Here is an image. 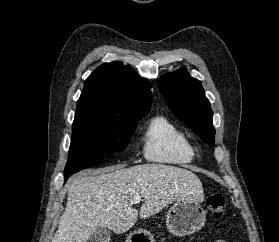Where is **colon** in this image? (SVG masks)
I'll list each match as a JSON object with an SVG mask.
<instances>
[{"mask_svg": "<svg viewBox=\"0 0 279 242\" xmlns=\"http://www.w3.org/2000/svg\"><path fill=\"white\" fill-rule=\"evenodd\" d=\"M206 207L210 216L215 220H220L224 216L225 197L222 193H213L206 199Z\"/></svg>", "mask_w": 279, "mask_h": 242, "instance_id": "colon-1", "label": "colon"}]
</instances>
